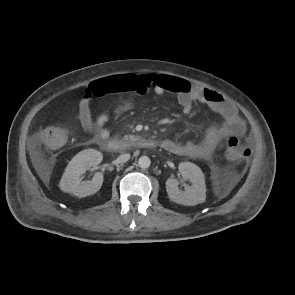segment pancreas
<instances>
[{
	"instance_id": "1",
	"label": "pancreas",
	"mask_w": 295,
	"mask_h": 295,
	"mask_svg": "<svg viewBox=\"0 0 295 295\" xmlns=\"http://www.w3.org/2000/svg\"><path fill=\"white\" fill-rule=\"evenodd\" d=\"M126 139H131V136L126 137L125 140H126Z\"/></svg>"
}]
</instances>
